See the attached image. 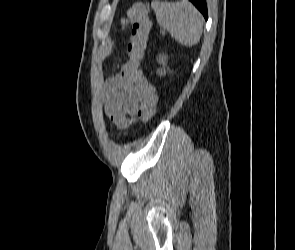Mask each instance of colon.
<instances>
[{
    "label": "colon",
    "mask_w": 295,
    "mask_h": 250,
    "mask_svg": "<svg viewBox=\"0 0 295 250\" xmlns=\"http://www.w3.org/2000/svg\"><path fill=\"white\" fill-rule=\"evenodd\" d=\"M131 25V36L128 45V59L121 69L123 79L131 82L141 97L142 120H150L156 111L157 94L154 86L147 80L141 70L151 23L143 4L135 3L127 11L124 21Z\"/></svg>",
    "instance_id": "colon-1"
}]
</instances>
